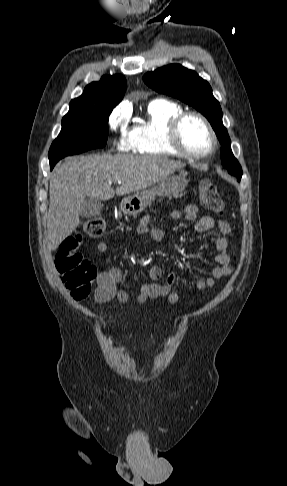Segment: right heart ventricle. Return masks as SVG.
I'll return each instance as SVG.
<instances>
[{
	"label": "right heart ventricle",
	"mask_w": 287,
	"mask_h": 486,
	"mask_svg": "<svg viewBox=\"0 0 287 486\" xmlns=\"http://www.w3.org/2000/svg\"><path fill=\"white\" fill-rule=\"evenodd\" d=\"M183 111L180 104L170 100L151 101L144 119L129 130L132 150L137 154L150 156L180 155L169 145L167 132L171 120Z\"/></svg>",
	"instance_id": "e07e8e85"
}]
</instances>
